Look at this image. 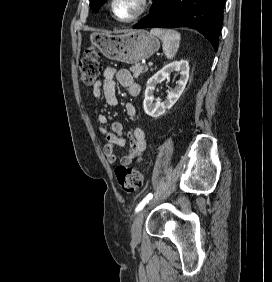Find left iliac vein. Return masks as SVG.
<instances>
[{"mask_svg": "<svg viewBox=\"0 0 272 282\" xmlns=\"http://www.w3.org/2000/svg\"><path fill=\"white\" fill-rule=\"evenodd\" d=\"M147 208H142L137 216L135 217L132 227H131V236L132 241L136 244H138L141 241L142 237V223L144 216L146 214Z\"/></svg>", "mask_w": 272, "mask_h": 282, "instance_id": "4c4485c4", "label": "left iliac vein"}]
</instances>
